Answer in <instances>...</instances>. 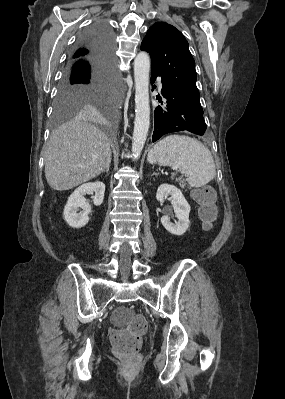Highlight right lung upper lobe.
Masks as SVG:
<instances>
[{
  "mask_svg": "<svg viewBox=\"0 0 285 399\" xmlns=\"http://www.w3.org/2000/svg\"><path fill=\"white\" fill-rule=\"evenodd\" d=\"M91 53H92L91 49L88 48L87 46H85V45L79 46L73 53L72 58L73 59L83 58V57L90 55Z\"/></svg>",
  "mask_w": 285,
  "mask_h": 399,
  "instance_id": "obj_1",
  "label": "right lung upper lobe"
}]
</instances>
